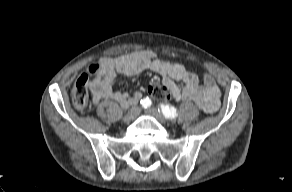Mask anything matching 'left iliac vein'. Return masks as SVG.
I'll return each instance as SVG.
<instances>
[{
    "label": "left iliac vein",
    "mask_w": 292,
    "mask_h": 192,
    "mask_svg": "<svg viewBox=\"0 0 292 192\" xmlns=\"http://www.w3.org/2000/svg\"><path fill=\"white\" fill-rule=\"evenodd\" d=\"M146 112L153 116L154 118H156L160 123L165 124L167 123V119L163 116V114L161 113V111L159 109L156 108H148L146 110Z\"/></svg>",
    "instance_id": "obj_1"
}]
</instances>
